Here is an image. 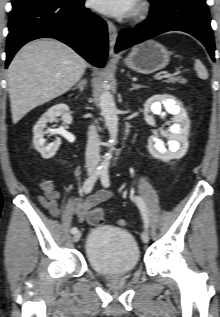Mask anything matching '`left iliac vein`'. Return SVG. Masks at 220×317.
<instances>
[{"instance_id": "obj_1", "label": "left iliac vein", "mask_w": 220, "mask_h": 317, "mask_svg": "<svg viewBox=\"0 0 220 317\" xmlns=\"http://www.w3.org/2000/svg\"><path fill=\"white\" fill-rule=\"evenodd\" d=\"M142 241L147 244L149 242V235L147 231H143L141 234Z\"/></svg>"}]
</instances>
